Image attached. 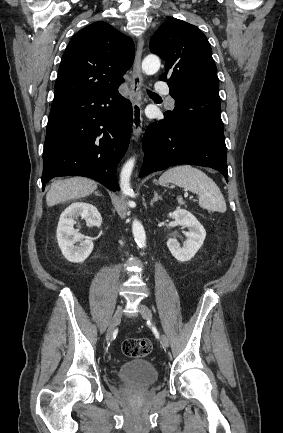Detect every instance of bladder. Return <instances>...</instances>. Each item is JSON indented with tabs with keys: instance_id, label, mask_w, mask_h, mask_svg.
Masks as SVG:
<instances>
[{
	"instance_id": "31cf9c89",
	"label": "bladder",
	"mask_w": 283,
	"mask_h": 433,
	"mask_svg": "<svg viewBox=\"0 0 283 433\" xmlns=\"http://www.w3.org/2000/svg\"><path fill=\"white\" fill-rule=\"evenodd\" d=\"M117 377L126 384L147 387L157 381L158 371L152 363L138 360L120 365Z\"/></svg>"
}]
</instances>
